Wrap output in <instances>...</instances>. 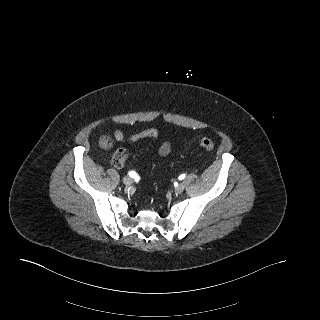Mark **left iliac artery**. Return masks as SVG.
I'll return each instance as SVG.
<instances>
[{
  "label": "left iliac artery",
  "instance_id": "left-iliac-artery-1",
  "mask_svg": "<svg viewBox=\"0 0 320 320\" xmlns=\"http://www.w3.org/2000/svg\"><path fill=\"white\" fill-rule=\"evenodd\" d=\"M185 177H186V174H181V175L179 176V179L182 180V179H184Z\"/></svg>",
  "mask_w": 320,
  "mask_h": 320
}]
</instances>
